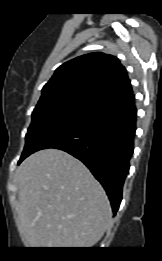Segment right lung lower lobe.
Returning <instances> with one entry per match:
<instances>
[{"label":"right lung lower lobe","instance_id":"1","mask_svg":"<svg viewBox=\"0 0 162 261\" xmlns=\"http://www.w3.org/2000/svg\"><path fill=\"white\" fill-rule=\"evenodd\" d=\"M136 114L133 93L109 100L50 133L18 164L41 149L70 153L102 184L116 214L133 154Z\"/></svg>","mask_w":162,"mask_h":261}]
</instances>
